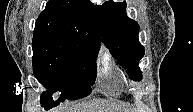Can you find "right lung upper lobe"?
Wrapping results in <instances>:
<instances>
[{
	"instance_id": "obj_1",
	"label": "right lung upper lobe",
	"mask_w": 193,
	"mask_h": 112,
	"mask_svg": "<svg viewBox=\"0 0 193 112\" xmlns=\"http://www.w3.org/2000/svg\"><path fill=\"white\" fill-rule=\"evenodd\" d=\"M34 35H65L100 46L95 6L90 0H49L36 20Z\"/></svg>"
}]
</instances>
